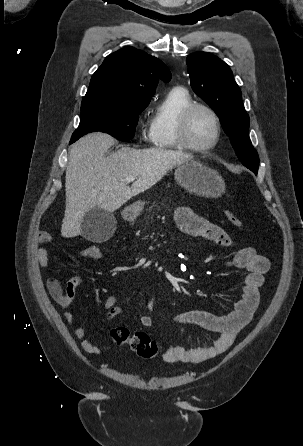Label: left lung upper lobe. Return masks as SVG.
<instances>
[{
	"label": "left lung upper lobe",
	"mask_w": 303,
	"mask_h": 446,
	"mask_svg": "<svg viewBox=\"0 0 303 446\" xmlns=\"http://www.w3.org/2000/svg\"><path fill=\"white\" fill-rule=\"evenodd\" d=\"M191 87L218 115L239 160L257 174L259 157L248 135L249 116L229 66L207 52L186 59Z\"/></svg>",
	"instance_id": "left-lung-upper-lobe-1"
}]
</instances>
